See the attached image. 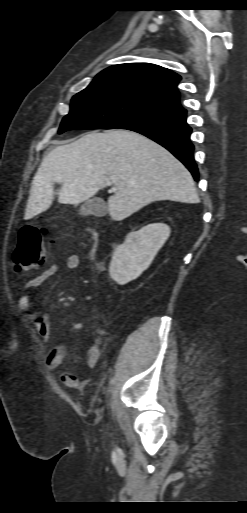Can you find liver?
<instances>
[{"label": "liver", "mask_w": 247, "mask_h": 513, "mask_svg": "<svg viewBox=\"0 0 247 513\" xmlns=\"http://www.w3.org/2000/svg\"><path fill=\"white\" fill-rule=\"evenodd\" d=\"M55 183L62 185L58 202L73 205L114 184L108 211L115 221L155 201L200 202L187 168L155 141L129 130L93 131L54 148L32 181L26 220L50 207Z\"/></svg>", "instance_id": "obj_1"}]
</instances>
